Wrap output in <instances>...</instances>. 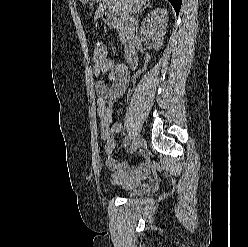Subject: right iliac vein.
<instances>
[{
  "instance_id": "63e3f726",
  "label": "right iliac vein",
  "mask_w": 248,
  "mask_h": 247,
  "mask_svg": "<svg viewBox=\"0 0 248 247\" xmlns=\"http://www.w3.org/2000/svg\"><path fill=\"white\" fill-rule=\"evenodd\" d=\"M142 142V139L140 136H136L133 140L132 146H131V153H134L138 147L140 146Z\"/></svg>"
}]
</instances>
